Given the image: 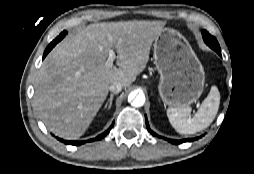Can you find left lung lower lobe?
<instances>
[{
  "label": "left lung lower lobe",
  "instance_id": "left-lung-lower-lobe-1",
  "mask_svg": "<svg viewBox=\"0 0 254 174\" xmlns=\"http://www.w3.org/2000/svg\"><path fill=\"white\" fill-rule=\"evenodd\" d=\"M220 56H221V51L217 52ZM145 122H146V126H147V129L148 131L153 135V136H157L156 133H154L150 127H149V124H148V120H147V116H145ZM198 138L200 137H197V138H190V139H184V140H171V139H166L168 140L169 142L173 143V144H180V143H183V142H190V141H194V140H197Z\"/></svg>",
  "mask_w": 254,
  "mask_h": 174
}]
</instances>
